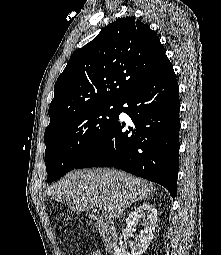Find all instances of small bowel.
I'll use <instances>...</instances> for the list:
<instances>
[{"label":"small bowel","instance_id":"small-bowel-1","mask_svg":"<svg viewBox=\"0 0 221 255\" xmlns=\"http://www.w3.org/2000/svg\"><path fill=\"white\" fill-rule=\"evenodd\" d=\"M92 255H102V253L100 251H95L92 253Z\"/></svg>","mask_w":221,"mask_h":255}]
</instances>
